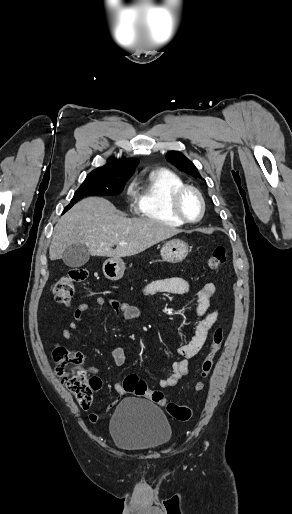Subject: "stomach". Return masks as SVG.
I'll list each match as a JSON object with an SVG mask.
<instances>
[{
    "label": "stomach",
    "instance_id": "obj_1",
    "mask_svg": "<svg viewBox=\"0 0 292 514\" xmlns=\"http://www.w3.org/2000/svg\"><path fill=\"white\" fill-rule=\"evenodd\" d=\"M188 254V246L183 240H170L161 248V258L163 262L178 264L185 260ZM125 272V264L120 258H110L103 264V274L108 280H120Z\"/></svg>",
    "mask_w": 292,
    "mask_h": 514
}]
</instances>
